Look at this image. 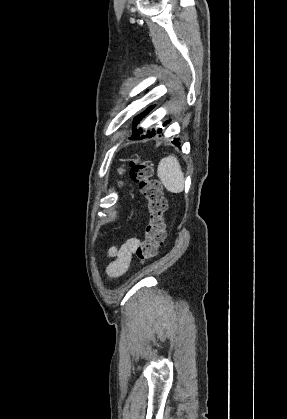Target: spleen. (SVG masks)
Instances as JSON below:
<instances>
[{"instance_id":"obj_1","label":"spleen","mask_w":287,"mask_h":419,"mask_svg":"<svg viewBox=\"0 0 287 419\" xmlns=\"http://www.w3.org/2000/svg\"><path fill=\"white\" fill-rule=\"evenodd\" d=\"M158 178L171 193H180L184 189V174L179 161L174 155L161 159L157 170Z\"/></svg>"}]
</instances>
